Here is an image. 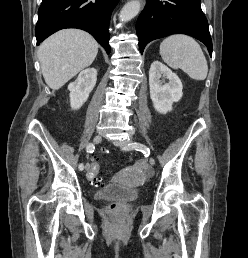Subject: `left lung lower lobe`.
<instances>
[{"label": "left lung lower lobe", "instance_id": "obj_1", "mask_svg": "<svg viewBox=\"0 0 248 258\" xmlns=\"http://www.w3.org/2000/svg\"><path fill=\"white\" fill-rule=\"evenodd\" d=\"M136 32L141 54L152 40L181 33L203 42L212 56V40L200 0H146Z\"/></svg>", "mask_w": 248, "mask_h": 258}]
</instances>
